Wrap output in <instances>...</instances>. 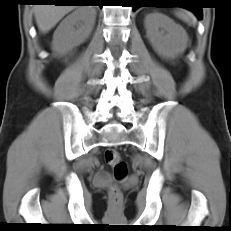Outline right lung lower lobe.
I'll return each instance as SVG.
<instances>
[{
  "label": "right lung lower lobe",
  "instance_id": "obj_1",
  "mask_svg": "<svg viewBox=\"0 0 231 231\" xmlns=\"http://www.w3.org/2000/svg\"><path fill=\"white\" fill-rule=\"evenodd\" d=\"M35 1L39 3H53L55 5H64V4L75 5L80 0H35Z\"/></svg>",
  "mask_w": 231,
  "mask_h": 231
}]
</instances>
